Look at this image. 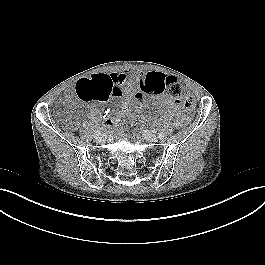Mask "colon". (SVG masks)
I'll return each mask as SVG.
<instances>
[{
    "instance_id": "1",
    "label": "colon",
    "mask_w": 265,
    "mask_h": 265,
    "mask_svg": "<svg viewBox=\"0 0 265 265\" xmlns=\"http://www.w3.org/2000/svg\"><path fill=\"white\" fill-rule=\"evenodd\" d=\"M168 93L171 97L179 99V102L185 112H190L194 108V99L192 96L184 93V88L181 82L172 75H167L164 79ZM112 93L109 82L104 78H96L92 81L84 79L79 80L75 87L68 91L67 96H77L84 101L92 100H106ZM143 96L138 94L135 96V109L141 106ZM78 122L75 117L66 119V126L68 128H75Z\"/></svg>"
}]
</instances>
